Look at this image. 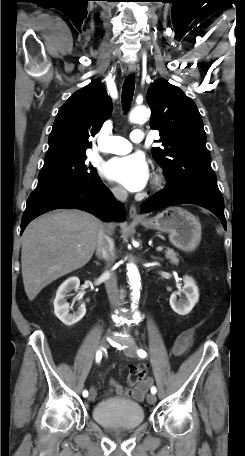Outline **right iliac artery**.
<instances>
[{
	"label": "right iliac artery",
	"mask_w": 245,
	"mask_h": 456,
	"mask_svg": "<svg viewBox=\"0 0 245 456\" xmlns=\"http://www.w3.org/2000/svg\"><path fill=\"white\" fill-rule=\"evenodd\" d=\"M101 359H102V351L98 350L97 353H96V362L99 363L101 361ZM82 394H83L84 397H87L88 396V391L84 390Z\"/></svg>",
	"instance_id": "1"
}]
</instances>
